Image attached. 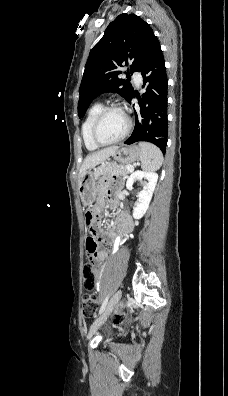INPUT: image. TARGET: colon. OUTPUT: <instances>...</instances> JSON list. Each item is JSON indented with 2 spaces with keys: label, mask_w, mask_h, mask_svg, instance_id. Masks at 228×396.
Instances as JSON below:
<instances>
[{
  "label": "colon",
  "mask_w": 228,
  "mask_h": 396,
  "mask_svg": "<svg viewBox=\"0 0 228 396\" xmlns=\"http://www.w3.org/2000/svg\"><path fill=\"white\" fill-rule=\"evenodd\" d=\"M86 224L92 234V236L86 239V252L88 255V261L84 264L83 275L84 285L87 290H91L95 286V281L99 275V268L92 258V255L96 252L98 242L96 232L98 226L96 225V215L93 212H86L85 214ZM98 305L97 297L95 294L88 293L83 296L82 299V311L84 316L92 317L96 311ZM127 320L125 314L121 313L116 316V323H122Z\"/></svg>",
  "instance_id": "colon-1"
}]
</instances>
